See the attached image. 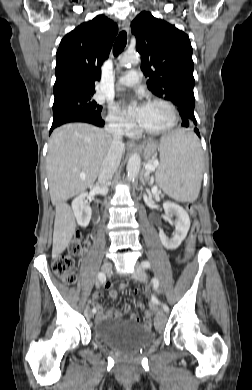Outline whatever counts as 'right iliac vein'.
Returning <instances> with one entry per match:
<instances>
[{
  "label": "right iliac vein",
  "instance_id": "1",
  "mask_svg": "<svg viewBox=\"0 0 252 390\" xmlns=\"http://www.w3.org/2000/svg\"><path fill=\"white\" fill-rule=\"evenodd\" d=\"M101 269L104 273H109L112 269V264L110 262H104ZM85 315L89 319L93 317V312L91 311L90 307L85 309Z\"/></svg>",
  "mask_w": 252,
  "mask_h": 390
}]
</instances>
